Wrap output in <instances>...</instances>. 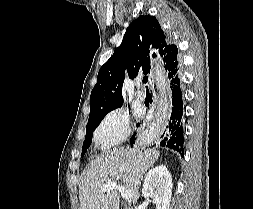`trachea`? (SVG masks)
I'll use <instances>...</instances> for the list:
<instances>
[{
  "instance_id": "3493384b",
  "label": "trachea",
  "mask_w": 253,
  "mask_h": 209,
  "mask_svg": "<svg viewBox=\"0 0 253 209\" xmlns=\"http://www.w3.org/2000/svg\"><path fill=\"white\" fill-rule=\"evenodd\" d=\"M147 82H148V77L145 76V77L143 78V83L146 84Z\"/></svg>"
}]
</instances>
